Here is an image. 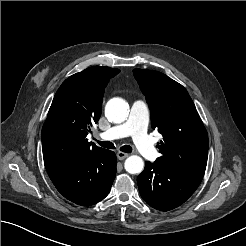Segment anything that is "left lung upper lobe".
Here are the masks:
<instances>
[{
    "mask_svg": "<svg viewBox=\"0 0 246 246\" xmlns=\"http://www.w3.org/2000/svg\"><path fill=\"white\" fill-rule=\"evenodd\" d=\"M134 76L146 97L151 124L163 135L158 143L157 163H172L206 169L208 135L186 89L165 74L134 69Z\"/></svg>",
    "mask_w": 246,
    "mask_h": 246,
    "instance_id": "1",
    "label": "left lung upper lobe"
}]
</instances>
